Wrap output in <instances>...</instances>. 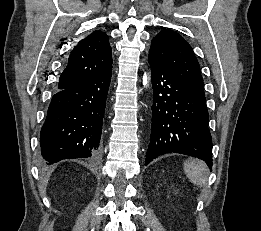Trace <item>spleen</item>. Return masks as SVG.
Wrapping results in <instances>:
<instances>
[{
	"label": "spleen",
	"mask_w": 261,
	"mask_h": 231,
	"mask_svg": "<svg viewBox=\"0 0 261 231\" xmlns=\"http://www.w3.org/2000/svg\"><path fill=\"white\" fill-rule=\"evenodd\" d=\"M184 171L193 184L201 186L207 180V166L199 160H189L184 163Z\"/></svg>",
	"instance_id": "obj_1"
}]
</instances>
